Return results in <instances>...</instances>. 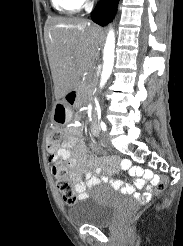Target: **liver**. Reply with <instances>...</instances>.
<instances>
[{
  "label": "liver",
  "mask_w": 183,
  "mask_h": 246,
  "mask_svg": "<svg viewBox=\"0 0 183 246\" xmlns=\"http://www.w3.org/2000/svg\"><path fill=\"white\" fill-rule=\"evenodd\" d=\"M102 40L101 28L88 21L63 17L49 18L46 47L56 99L62 98L90 68Z\"/></svg>",
  "instance_id": "liver-1"
}]
</instances>
